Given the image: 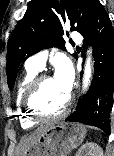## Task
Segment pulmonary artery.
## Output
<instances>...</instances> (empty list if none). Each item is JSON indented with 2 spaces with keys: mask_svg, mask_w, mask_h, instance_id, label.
Wrapping results in <instances>:
<instances>
[{
  "mask_svg": "<svg viewBox=\"0 0 114 156\" xmlns=\"http://www.w3.org/2000/svg\"><path fill=\"white\" fill-rule=\"evenodd\" d=\"M70 36L75 42H78V43L81 42V36L79 33L74 31V32H71ZM47 55H48L47 50H43V51L36 53L35 55L27 59L26 66L39 70V71L42 70L45 66Z\"/></svg>",
  "mask_w": 114,
  "mask_h": 156,
  "instance_id": "obj_1",
  "label": "pulmonary artery"
}]
</instances>
